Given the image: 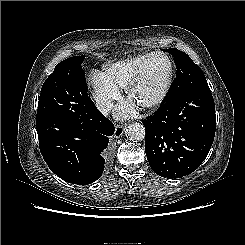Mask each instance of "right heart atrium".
Listing matches in <instances>:
<instances>
[{"mask_svg": "<svg viewBox=\"0 0 245 245\" xmlns=\"http://www.w3.org/2000/svg\"><path fill=\"white\" fill-rule=\"evenodd\" d=\"M92 85L94 98L99 109L103 113H108L114 106V103L120 99V91L114 87L100 72L92 74Z\"/></svg>", "mask_w": 245, "mask_h": 245, "instance_id": "d8ad5b80", "label": "right heart atrium"}]
</instances>
